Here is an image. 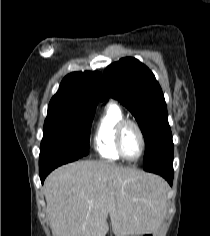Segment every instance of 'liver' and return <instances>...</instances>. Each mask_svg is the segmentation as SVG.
Instances as JSON below:
<instances>
[{
    "label": "liver",
    "mask_w": 210,
    "mask_h": 236,
    "mask_svg": "<svg viewBox=\"0 0 210 236\" xmlns=\"http://www.w3.org/2000/svg\"><path fill=\"white\" fill-rule=\"evenodd\" d=\"M165 181L104 160L70 163L45 180L53 236H115L154 231L164 208Z\"/></svg>",
    "instance_id": "1"
}]
</instances>
